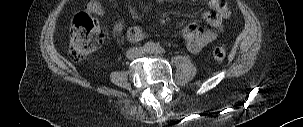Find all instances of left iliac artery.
I'll return each mask as SVG.
<instances>
[{
	"label": "left iliac artery",
	"mask_w": 303,
	"mask_h": 127,
	"mask_svg": "<svg viewBox=\"0 0 303 127\" xmlns=\"http://www.w3.org/2000/svg\"><path fill=\"white\" fill-rule=\"evenodd\" d=\"M145 47L149 53L164 54L166 52L163 47L156 45L153 42L146 43Z\"/></svg>",
	"instance_id": "obj_1"
}]
</instances>
